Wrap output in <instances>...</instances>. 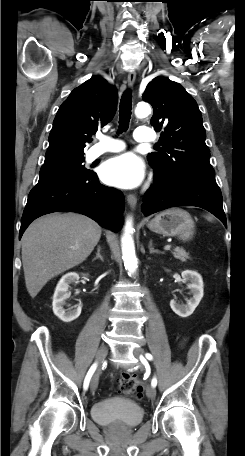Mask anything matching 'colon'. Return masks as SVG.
<instances>
[{"label": "colon", "mask_w": 245, "mask_h": 456, "mask_svg": "<svg viewBox=\"0 0 245 456\" xmlns=\"http://www.w3.org/2000/svg\"><path fill=\"white\" fill-rule=\"evenodd\" d=\"M119 387L124 393L134 392L138 397L142 395V387L133 373H124L119 379Z\"/></svg>", "instance_id": "1"}]
</instances>
